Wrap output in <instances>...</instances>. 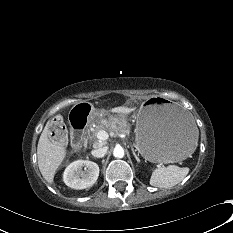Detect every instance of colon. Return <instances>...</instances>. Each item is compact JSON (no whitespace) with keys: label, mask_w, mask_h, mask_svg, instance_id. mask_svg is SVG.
Returning <instances> with one entry per match:
<instances>
[{"label":"colon","mask_w":233,"mask_h":233,"mask_svg":"<svg viewBox=\"0 0 233 233\" xmlns=\"http://www.w3.org/2000/svg\"><path fill=\"white\" fill-rule=\"evenodd\" d=\"M51 134L57 140H64L66 138V130L64 125L58 120L53 121L51 124Z\"/></svg>","instance_id":"colon-1"}]
</instances>
